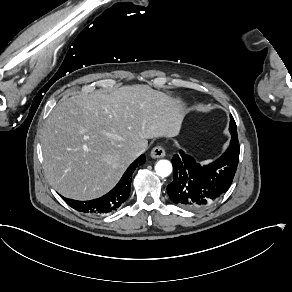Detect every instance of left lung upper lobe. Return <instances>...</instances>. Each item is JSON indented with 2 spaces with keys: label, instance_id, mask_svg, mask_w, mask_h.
I'll return each mask as SVG.
<instances>
[{
  "label": "left lung upper lobe",
  "instance_id": "obj_1",
  "mask_svg": "<svg viewBox=\"0 0 292 292\" xmlns=\"http://www.w3.org/2000/svg\"><path fill=\"white\" fill-rule=\"evenodd\" d=\"M230 127H229V131L232 135V139H231V142L230 144H238L239 141H238V136H237V130H236V123L232 117V115H230Z\"/></svg>",
  "mask_w": 292,
  "mask_h": 292
}]
</instances>
